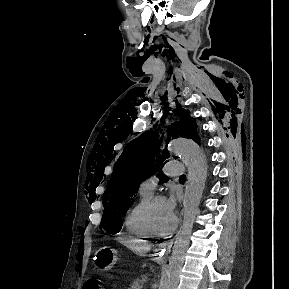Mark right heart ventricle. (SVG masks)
<instances>
[{"label":"right heart ventricle","instance_id":"right-heart-ventricle-1","mask_svg":"<svg viewBox=\"0 0 289 289\" xmlns=\"http://www.w3.org/2000/svg\"><path fill=\"white\" fill-rule=\"evenodd\" d=\"M151 196V193L139 190L137 199L127 210L125 214L124 224L127 232L131 235L139 238H150L153 236L147 230L142 219L144 207Z\"/></svg>","mask_w":289,"mask_h":289}]
</instances>
